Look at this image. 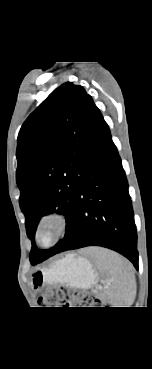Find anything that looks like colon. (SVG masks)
<instances>
[{
	"instance_id": "1",
	"label": "colon",
	"mask_w": 152,
	"mask_h": 369,
	"mask_svg": "<svg viewBox=\"0 0 152 369\" xmlns=\"http://www.w3.org/2000/svg\"><path fill=\"white\" fill-rule=\"evenodd\" d=\"M95 302V299L88 293L71 290L67 288H57L54 291L45 293L41 297V303L49 307H87L91 303Z\"/></svg>"
}]
</instances>
